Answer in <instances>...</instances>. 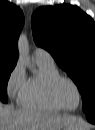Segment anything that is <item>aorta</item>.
Wrapping results in <instances>:
<instances>
[{
  "label": "aorta",
  "instance_id": "aorta-1",
  "mask_svg": "<svg viewBox=\"0 0 95 130\" xmlns=\"http://www.w3.org/2000/svg\"><path fill=\"white\" fill-rule=\"evenodd\" d=\"M18 53H19V58L21 60L26 61V63L30 62L29 43H28L27 36L25 34H21V36L19 38Z\"/></svg>",
  "mask_w": 95,
  "mask_h": 130
}]
</instances>
